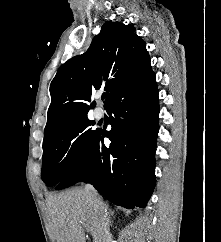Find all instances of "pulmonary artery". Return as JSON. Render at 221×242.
<instances>
[{"instance_id": "obj_1", "label": "pulmonary artery", "mask_w": 221, "mask_h": 242, "mask_svg": "<svg viewBox=\"0 0 221 242\" xmlns=\"http://www.w3.org/2000/svg\"><path fill=\"white\" fill-rule=\"evenodd\" d=\"M94 116L97 120H100L103 118L104 116V111L102 108H96L95 111H94Z\"/></svg>"}]
</instances>
